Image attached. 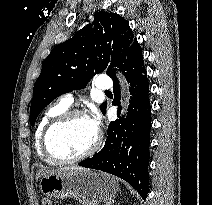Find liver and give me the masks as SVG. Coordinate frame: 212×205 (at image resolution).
Segmentation results:
<instances>
[{
  "mask_svg": "<svg viewBox=\"0 0 212 205\" xmlns=\"http://www.w3.org/2000/svg\"><path fill=\"white\" fill-rule=\"evenodd\" d=\"M61 170H79V171H86V168L83 167H78V166H70V167H64V168H59L57 170H52V171H44V170H40L39 172H37L36 174V180H38L40 178V176L48 174V173H54L57 171H61Z\"/></svg>",
  "mask_w": 212,
  "mask_h": 205,
  "instance_id": "1",
  "label": "liver"
}]
</instances>
